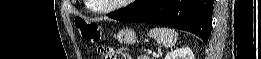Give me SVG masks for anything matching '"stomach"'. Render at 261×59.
Returning <instances> with one entry per match:
<instances>
[{
	"mask_svg": "<svg viewBox=\"0 0 261 59\" xmlns=\"http://www.w3.org/2000/svg\"><path fill=\"white\" fill-rule=\"evenodd\" d=\"M116 38L120 43L124 44H133L137 40L135 32L129 28L119 30Z\"/></svg>",
	"mask_w": 261,
	"mask_h": 59,
	"instance_id": "stomach-1",
	"label": "stomach"
}]
</instances>
